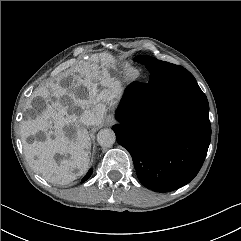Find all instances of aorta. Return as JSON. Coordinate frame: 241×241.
<instances>
[{
    "instance_id": "aorta-1",
    "label": "aorta",
    "mask_w": 241,
    "mask_h": 241,
    "mask_svg": "<svg viewBox=\"0 0 241 241\" xmlns=\"http://www.w3.org/2000/svg\"><path fill=\"white\" fill-rule=\"evenodd\" d=\"M116 136L111 129H102L97 134V142L102 147H110L114 144Z\"/></svg>"
}]
</instances>
